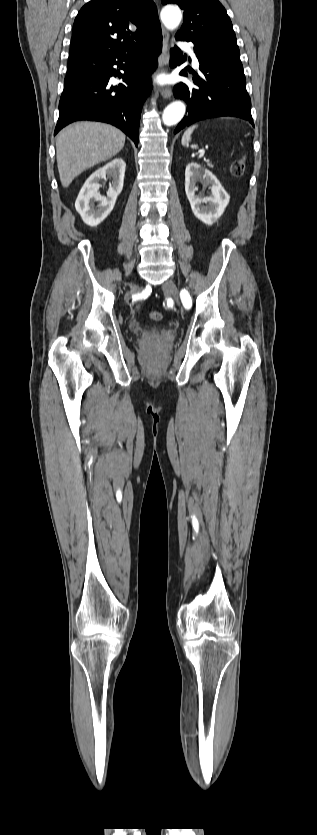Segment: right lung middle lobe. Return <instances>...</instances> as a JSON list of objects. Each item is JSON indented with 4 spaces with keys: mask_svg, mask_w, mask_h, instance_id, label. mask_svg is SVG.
Here are the masks:
<instances>
[{
    "mask_svg": "<svg viewBox=\"0 0 317 835\" xmlns=\"http://www.w3.org/2000/svg\"><path fill=\"white\" fill-rule=\"evenodd\" d=\"M85 76H86V74L81 73V74H80V75H78V76H74V77H70V78H67V77H66V79L64 80V82H69V81L78 80V79H80V78H84Z\"/></svg>",
    "mask_w": 317,
    "mask_h": 835,
    "instance_id": "obj_1",
    "label": "right lung middle lobe"
}]
</instances>
